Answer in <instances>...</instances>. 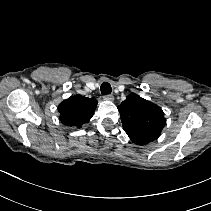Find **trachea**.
Listing matches in <instances>:
<instances>
[{"mask_svg":"<svg viewBox=\"0 0 211 211\" xmlns=\"http://www.w3.org/2000/svg\"><path fill=\"white\" fill-rule=\"evenodd\" d=\"M100 90H101V93H102V94L108 95V94L111 93L112 88H111V86H110V84H109L108 82H103V83L101 84Z\"/></svg>","mask_w":211,"mask_h":211,"instance_id":"3493384b","label":"trachea"}]
</instances>
